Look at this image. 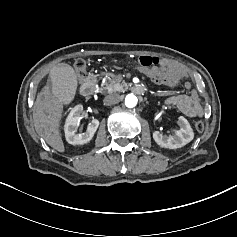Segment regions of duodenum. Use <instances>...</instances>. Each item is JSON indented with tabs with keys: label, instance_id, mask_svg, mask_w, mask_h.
<instances>
[{
	"label": "duodenum",
	"instance_id": "obj_1",
	"mask_svg": "<svg viewBox=\"0 0 237 237\" xmlns=\"http://www.w3.org/2000/svg\"><path fill=\"white\" fill-rule=\"evenodd\" d=\"M96 90V79L94 77V75L90 74L88 75L82 82L81 84V94L84 96H89L92 95ZM134 90L138 93H142L143 92V87L137 85L134 87Z\"/></svg>",
	"mask_w": 237,
	"mask_h": 237
}]
</instances>
